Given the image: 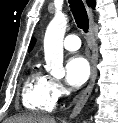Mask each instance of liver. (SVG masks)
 Returning a JSON list of instances; mask_svg holds the SVG:
<instances>
[{
	"label": "liver",
	"mask_w": 118,
	"mask_h": 123,
	"mask_svg": "<svg viewBox=\"0 0 118 123\" xmlns=\"http://www.w3.org/2000/svg\"><path fill=\"white\" fill-rule=\"evenodd\" d=\"M4 123H56L54 118L42 116L39 114H23L11 117Z\"/></svg>",
	"instance_id": "1"
}]
</instances>
